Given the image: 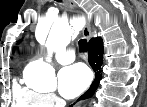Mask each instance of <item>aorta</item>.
I'll use <instances>...</instances> for the list:
<instances>
[{"mask_svg": "<svg viewBox=\"0 0 147 107\" xmlns=\"http://www.w3.org/2000/svg\"><path fill=\"white\" fill-rule=\"evenodd\" d=\"M75 32L76 29L66 22H54L46 41L48 51L46 62L37 60L27 66V70L31 73L32 86L45 90H52L56 87L55 71L49 64L51 56L55 50L67 46Z\"/></svg>", "mask_w": 147, "mask_h": 107, "instance_id": "aorta-1", "label": "aorta"}]
</instances>
